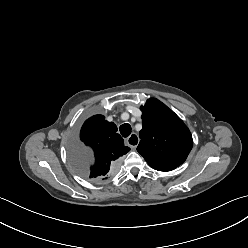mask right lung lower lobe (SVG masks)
<instances>
[{
  "label": "right lung lower lobe",
  "mask_w": 248,
  "mask_h": 248,
  "mask_svg": "<svg viewBox=\"0 0 248 248\" xmlns=\"http://www.w3.org/2000/svg\"><path fill=\"white\" fill-rule=\"evenodd\" d=\"M116 170H117V165H115V166L110 170L109 174H108L106 177L97 179V180H95V181H102V180H106V179L110 178V177L116 172Z\"/></svg>",
  "instance_id": "1"
}]
</instances>
